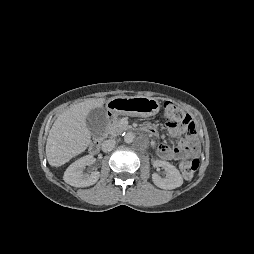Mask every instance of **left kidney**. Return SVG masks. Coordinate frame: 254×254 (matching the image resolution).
<instances>
[{
	"label": "left kidney",
	"instance_id": "obj_1",
	"mask_svg": "<svg viewBox=\"0 0 254 254\" xmlns=\"http://www.w3.org/2000/svg\"><path fill=\"white\" fill-rule=\"evenodd\" d=\"M155 168H163L166 171V177L162 178L157 173L152 174L153 183L162 189H175L183 184V178L179 170L169 162L155 160L153 163Z\"/></svg>",
	"mask_w": 254,
	"mask_h": 254
}]
</instances>
